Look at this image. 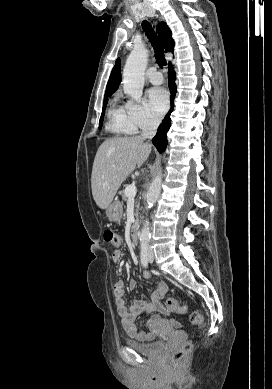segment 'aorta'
<instances>
[{
  "label": "aorta",
  "mask_w": 272,
  "mask_h": 389,
  "mask_svg": "<svg viewBox=\"0 0 272 389\" xmlns=\"http://www.w3.org/2000/svg\"><path fill=\"white\" fill-rule=\"evenodd\" d=\"M148 52L144 47H135L129 54L123 70V88L133 100L139 101L143 94L144 72L147 66ZM162 173L161 169L150 184L147 193V209L152 208L158 199L161 191ZM151 237L149 222L146 221L140 233L142 243L149 242Z\"/></svg>",
  "instance_id": "obj_1"
}]
</instances>
